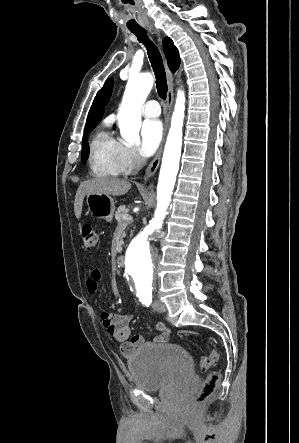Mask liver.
Instances as JSON below:
<instances>
[{
	"mask_svg": "<svg viewBox=\"0 0 299 443\" xmlns=\"http://www.w3.org/2000/svg\"><path fill=\"white\" fill-rule=\"evenodd\" d=\"M131 189V183L125 179L96 178L82 182L76 192L74 213L77 219L82 214L84 197L89 194H105L109 196H122Z\"/></svg>",
	"mask_w": 299,
	"mask_h": 443,
	"instance_id": "obj_1",
	"label": "liver"
}]
</instances>
